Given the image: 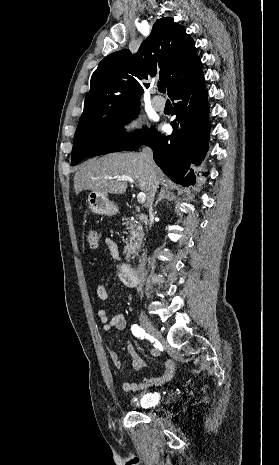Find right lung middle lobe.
Masks as SVG:
<instances>
[{"label": "right lung middle lobe", "instance_id": "obj_1", "mask_svg": "<svg viewBox=\"0 0 279 465\" xmlns=\"http://www.w3.org/2000/svg\"><path fill=\"white\" fill-rule=\"evenodd\" d=\"M139 107L127 111H107L91 123L77 126L72 149L71 166L84 158L140 147L157 130L144 128L138 133L124 135L122 127L128 117L136 116Z\"/></svg>", "mask_w": 279, "mask_h": 465}]
</instances>
